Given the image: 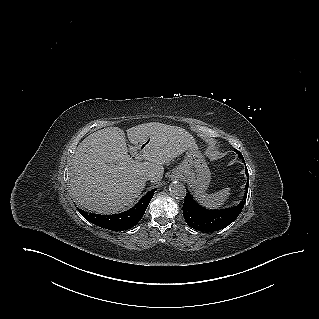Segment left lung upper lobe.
Masks as SVG:
<instances>
[{
    "mask_svg": "<svg viewBox=\"0 0 319 319\" xmlns=\"http://www.w3.org/2000/svg\"><path fill=\"white\" fill-rule=\"evenodd\" d=\"M236 153H238V156H239L240 159L243 158L242 154L239 151L236 150Z\"/></svg>",
    "mask_w": 319,
    "mask_h": 319,
    "instance_id": "obj_1",
    "label": "left lung upper lobe"
}]
</instances>
